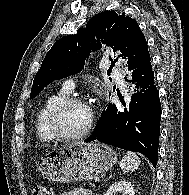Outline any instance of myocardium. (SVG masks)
Listing matches in <instances>:
<instances>
[{
    "instance_id": "obj_1",
    "label": "myocardium",
    "mask_w": 189,
    "mask_h": 195,
    "mask_svg": "<svg viewBox=\"0 0 189 195\" xmlns=\"http://www.w3.org/2000/svg\"><path fill=\"white\" fill-rule=\"evenodd\" d=\"M74 104H82V105L88 106V108L90 109V119H89L88 124L84 128V130H82L80 133L69 135V134L64 133L61 130L60 125H59V120H60L61 114L69 106L74 105ZM47 124H48V128L50 132L56 139L62 140V141H75V140L84 138L91 132L95 124V115L92 109L90 108L89 102L85 98L79 97V96H68L64 98L63 100H61L60 102H58L53 107V109L49 113Z\"/></svg>"
}]
</instances>
